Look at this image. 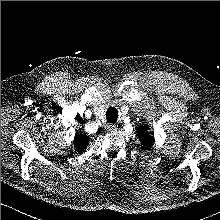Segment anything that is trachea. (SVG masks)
Listing matches in <instances>:
<instances>
[{
	"label": "trachea",
	"mask_w": 220,
	"mask_h": 220,
	"mask_svg": "<svg viewBox=\"0 0 220 220\" xmlns=\"http://www.w3.org/2000/svg\"><path fill=\"white\" fill-rule=\"evenodd\" d=\"M117 118H118V111H117V109L114 108V107H110L106 111L107 123H114V122H116Z\"/></svg>",
	"instance_id": "1"
}]
</instances>
